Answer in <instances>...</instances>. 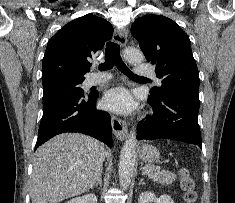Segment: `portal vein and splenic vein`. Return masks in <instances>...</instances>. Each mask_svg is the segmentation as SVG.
<instances>
[{
  "label": "portal vein and splenic vein",
  "mask_w": 235,
  "mask_h": 203,
  "mask_svg": "<svg viewBox=\"0 0 235 203\" xmlns=\"http://www.w3.org/2000/svg\"><path fill=\"white\" fill-rule=\"evenodd\" d=\"M148 172H150V170L149 169H145L144 171H143V174L145 175V174H148Z\"/></svg>",
  "instance_id": "portal-vein-and-splenic-vein-1"
}]
</instances>
